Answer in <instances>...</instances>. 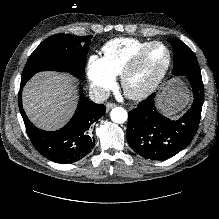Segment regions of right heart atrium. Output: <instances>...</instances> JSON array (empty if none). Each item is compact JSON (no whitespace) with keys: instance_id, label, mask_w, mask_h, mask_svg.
Listing matches in <instances>:
<instances>
[{"instance_id":"1","label":"right heart atrium","mask_w":219,"mask_h":219,"mask_svg":"<svg viewBox=\"0 0 219 219\" xmlns=\"http://www.w3.org/2000/svg\"><path fill=\"white\" fill-rule=\"evenodd\" d=\"M86 75L91 89L98 95L107 92L115 79V76L104 64L102 57L96 54H93L88 58Z\"/></svg>"}]
</instances>
